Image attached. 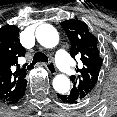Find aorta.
Returning <instances> with one entry per match:
<instances>
[{
  "label": "aorta",
  "instance_id": "1",
  "mask_svg": "<svg viewBox=\"0 0 117 117\" xmlns=\"http://www.w3.org/2000/svg\"><path fill=\"white\" fill-rule=\"evenodd\" d=\"M36 39L45 48H54L59 42L57 30L50 24H42L36 29ZM53 88L59 94H66L70 90V80L63 74L53 79Z\"/></svg>",
  "mask_w": 117,
  "mask_h": 117
}]
</instances>
